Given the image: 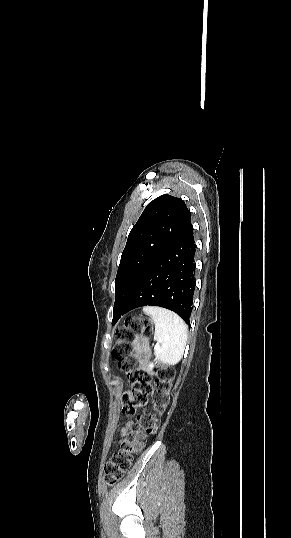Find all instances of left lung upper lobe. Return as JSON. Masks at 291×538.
<instances>
[{"instance_id": "obj_1", "label": "left lung upper lobe", "mask_w": 291, "mask_h": 538, "mask_svg": "<svg viewBox=\"0 0 291 538\" xmlns=\"http://www.w3.org/2000/svg\"><path fill=\"white\" fill-rule=\"evenodd\" d=\"M185 202L162 195L150 202L129 233L115 279V307H124L159 255L190 224Z\"/></svg>"}]
</instances>
